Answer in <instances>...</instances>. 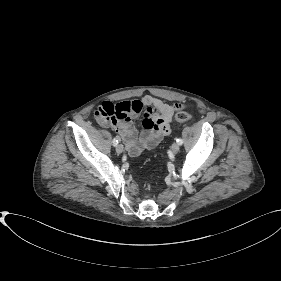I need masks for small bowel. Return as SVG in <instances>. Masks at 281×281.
I'll return each instance as SVG.
<instances>
[{
  "mask_svg": "<svg viewBox=\"0 0 281 281\" xmlns=\"http://www.w3.org/2000/svg\"><path fill=\"white\" fill-rule=\"evenodd\" d=\"M109 103L105 102L102 105ZM129 107L134 103L140 105L139 110L131 112L123 119L111 122L101 121L104 125H111L119 137L123 140L125 147L131 156H138L144 150L155 148L162 139L171 132V122L175 109L183 107L181 104L169 105L160 99L152 96H144L140 101L126 102ZM101 105V106H102ZM143 106L144 119L142 122V132L138 131L133 123V119L139 115Z\"/></svg>",
  "mask_w": 281,
  "mask_h": 281,
  "instance_id": "1",
  "label": "small bowel"
}]
</instances>
